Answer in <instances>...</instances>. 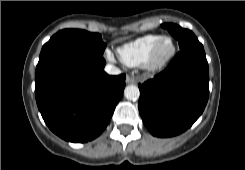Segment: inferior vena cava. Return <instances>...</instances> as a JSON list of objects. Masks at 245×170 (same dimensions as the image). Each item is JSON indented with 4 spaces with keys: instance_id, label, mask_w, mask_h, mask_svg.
Segmentation results:
<instances>
[{
    "instance_id": "602c4592",
    "label": "inferior vena cava",
    "mask_w": 245,
    "mask_h": 170,
    "mask_svg": "<svg viewBox=\"0 0 245 170\" xmlns=\"http://www.w3.org/2000/svg\"><path fill=\"white\" fill-rule=\"evenodd\" d=\"M105 72L110 75H119L121 73L119 68L111 64L105 66Z\"/></svg>"
}]
</instances>
